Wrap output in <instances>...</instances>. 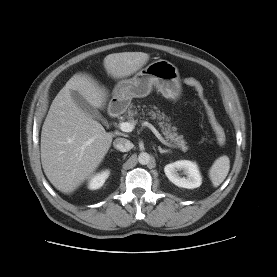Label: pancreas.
Here are the masks:
<instances>
[{
	"label": "pancreas",
	"mask_w": 277,
	"mask_h": 277,
	"mask_svg": "<svg viewBox=\"0 0 277 277\" xmlns=\"http://www.w3.org/2000/svg\"><path fill=\"white\" fill-rule=\"evenodd\" d=\"M154 108L157 109L156 107ZM137 114V109H135V106L131 105L130 108L127 110L126 115L124 116L129 121L137 122V120H134V117ZM142 115H145L144 111H142ZM146 115H149L151 119H157L159 121L158 125L161 127V131L164 137L167 141L172 143L174 147L181 148L183 151H186L188 149L183 136L178 135V133L176 132V127H171V124L168 123L169 118L164 113H161L160 110H149Z\"/></svg>",
	"instance_id": "obj_1"
}]
</instances>
